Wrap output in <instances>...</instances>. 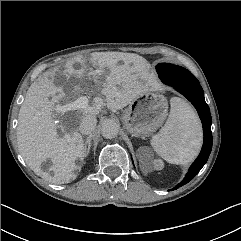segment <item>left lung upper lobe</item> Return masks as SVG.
<instances>
[{"label":"left lung upper lobe","instance_id":"5c2ea615","mask_svg":"<svg viewBox=\"0 0 241 241\" xmlns=\"http://www.w3.org/2000/svg\"><path fill=\"white\" fill-rule=\"evenodd\" d=\"M156 70L160 78H163L171 83H187L197 80L187 69L168 63L158 64L156 66Z\"/></svg>","mask_w":241,"mask_h":241}]
</instances>
